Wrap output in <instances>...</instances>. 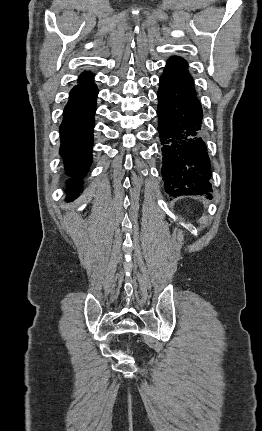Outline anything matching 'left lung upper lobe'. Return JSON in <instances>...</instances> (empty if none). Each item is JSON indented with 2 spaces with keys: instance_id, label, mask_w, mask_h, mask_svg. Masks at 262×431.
<instances>
[{
  "instance_id": "obj_1",
  "label": "left lung upper lobe",
  "mask_w": 262,
  "mask_h": 431,
  "mask_svg": "<svg viewBox=\"0 0 262 431\" xmlns=\"http://www.w3.org/2000/svg\"><path fill=\"white\" fill-rule=\"evenodd\" d=\"M161 77L196 94L193 79L187 71V63L182 58L172 57L169 59Z\"/></svg>"
}]
</instances>
